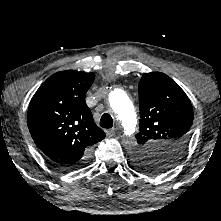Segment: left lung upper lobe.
Wrapping results in <instances>:
<instances>
[{
  "mask_svg": "<svg viewBox=\"0 0 221 221\" xmlns=\"http://www.w3.org/2000/svg\"><path fill=\"white\" fill-rule=\"evenodd\" d=\"M140 129L135 162L149 173H162L182 157L189 143L193 108L185 92L161 72L139 82Z\"/></svg>",
  "mask_w": 221,
  "mask_h": 221,
  "instance_id": "1",
  "label": "left lung upper lobe"
}]
</instances>
